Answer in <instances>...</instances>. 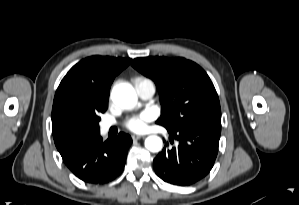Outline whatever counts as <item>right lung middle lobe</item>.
<instances>
[{
    "instance_id": "obj_1",
    "label": "right lung middle lobe",
    "mask_w": 299,
    "mask_h": 205,
    "mask_svg": "<svg viewBox=\"0 0 299 205\" xmlns=\"http://www.w3.org/2000/svg\"><path fill=\"white\" fill-rule=\"evenodd\" d=\"M103 112L73 113L61 124V134L65 142L72 146L89 136L100 133L99 114Z\"/></svg>"
}]
</instances>
